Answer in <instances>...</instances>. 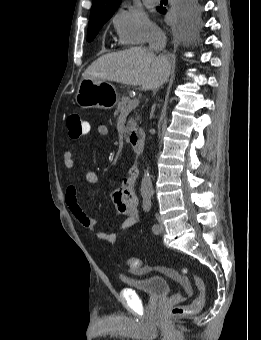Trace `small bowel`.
Instances as JSON below:
<instances>
[{"label":"small bowel","mask_w":261,"mask_h":340,"mask_svg":"<svg viewBox=\"0 0 261 340\" xmlns=\"http://www.w3.org/2000/svg\"><path fill=\"white\" fill-rule=\"evenodd\" d=\"M90 124L85 122V134L89 133ZM97 132L100 136H107L109 133L108 127L106 125H99ZM64 165L68 169H72L75 166V153L72 150H65L63 153ZM139 171L136 166H131L128 169V175L122 186L113 190L111 193V198L116 206L117 210L126 215L125 219L120 225V229L125 231L133 227L139 221L138 212V199L135 193V184L138 179ZM86 181L90 184H97L99 179L95 172L87 171L85 175ZM65 202L66 205L73 215V217L78 221V223L88 231H95V220L91 218L85 211L82 200L79 197L78 189L75 185H68L65 192ZM96 237L106 243H114L116 240V234L113 232H96ZM186 292L188 294L192 293V288L190 286L186 287Z\"/></svg>","instance_id":"obj_1"}]
</instances>
